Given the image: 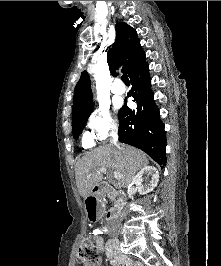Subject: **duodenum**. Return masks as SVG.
I'll use <instances>...</instances> for the list:
<instances>
[{
  "instance_id": "duodenum-1",
  "label": "duodenum",
  "mask_w": 221,
  "mask_h": 266,
  "mask_svg": "<svg viewBox=\"0 0 221 266\" xmlns=\"http://www.w3.org/2000/svg\"><path fill=\"white\" fill-rule=\"evenodd\" d=\"M111 190H104L102 185L96 186L95 189L88 191V198H85L87 206V219L88 223H99V219H102L103 213V196L110 194ZM116 215L115 209H109L106 212V220L111 222Z\"/></svg>"
}]
</instances>
